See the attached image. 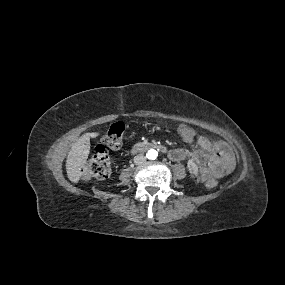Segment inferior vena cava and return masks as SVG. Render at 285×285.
I'll use <instances>...</instances> for the list:
<instances>
[{"label":"inferior vena cava","instance_id":"obj_1","mask_svg":"<svg viewBox=\"0 0 285 285\" xmlns=\"http://www.w3.org/2000/svg\"><path fill=\"white\" fill-rule=\"evenodd\" d=\"M146 162V157L143 154H138L134 157V163L136 165H141Z\"/></svg>","mask_w":285,"mask_h":285}]
</instances>
